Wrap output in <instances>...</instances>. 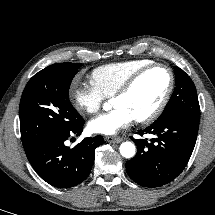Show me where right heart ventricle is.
<instances>
[{"label": "right heart ventricle", "mask_w": 215, "mask_h": 215, "mask_svg": "<svg viewBox=\"0 0 215 215\" xmlns=\"http://www.w3.org/2000/svg\"><path fill=\"white\" fill-rule=\"evenodd\" d=\"M152 63L148 59H135L102 65L92 71L91 81L106 98H110L133 74Z\"/></svg>", "instance_id": "right-heart-ventricle-1"}]
</instances>
